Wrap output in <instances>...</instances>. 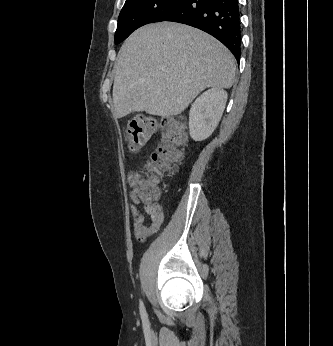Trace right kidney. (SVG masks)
<instances>
[{
    "mask_svg": "<svg viewBox=\"0 0 333 346\" xmlns=\"http://www.w3.org/2000/svg\"><path fill=\"white\" fill-rule=\"evenodd\" d=\"M227 97L222 88H212L194 101L189 112V133L193 140L202 141L213 133L222 117Z\"/></svg>",
    "mask_w": 333,
    "mask_h": 346,
    "instance_id": "ca27d5eb",
    "label": "right kidney"
}]
</instances>
